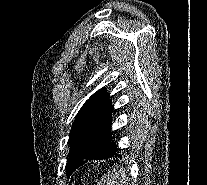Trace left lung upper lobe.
Masks as SVG:
<instances>
[{
  "mask_svg": "<svg viewBox=\"0 0 207 185\" xmlns=\"http://www.w3.org/2000/svg\"><path fill=\"white\" fill-rule=\"evenodd\" d=\"M112 101L105 88L95 92L81 107L69 134L66 171L84 155L103 152L111 142Z\"/></svg>",
  "mask_w": 207,
  "mask_h": 185,
  "instance_id": "5c2ea615",
  "label": "left lung upper lobe"
}]
</instances>
